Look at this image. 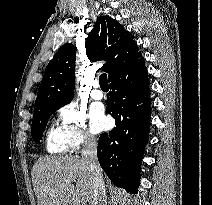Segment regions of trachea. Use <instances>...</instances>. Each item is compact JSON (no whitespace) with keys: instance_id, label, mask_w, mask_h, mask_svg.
<instances>
[{"instance_id":"obj_1","label":"trachea","mask_w":212,"mask_h":205,"mask_svg":"<svg viewBox=\"0 0 212 205\" xmlns=\"http://www.w3.org/2000/svg\"><path fill=\"white\" fill-rule=\"evenodd\" d=\"M99 84H100V87L102 88V89H106V88H108L109 86H108V80H107V74H102V75H100V77H99Z\"/></svg>"}]
</instances>
